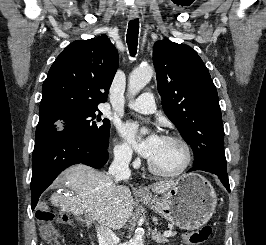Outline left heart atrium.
I'll use <instances>...</instances> for the list:
<instances>
[{"mask_svg":"<svg viewBox=\"0 0 266 245\" xmlns=\"http://www.w3.org/2000/svg\"><path fill=\"white\" fill-rule=\"evenodd\" d=\"M121 136L131 144L134 149L145 159L151 160L156 153L162 136L154 131L143 133L136 123H122L118 127Z\"/></svg>","mask_w":266,"mask_h":245,"instance_id":"left-heart-atrium-1","label":"left heart atrium"}]
</instances>
